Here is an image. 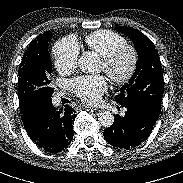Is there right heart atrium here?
Segmentation results:
<instances>
[{
	"mask_svg": "<svg viewBox=\"0 0 183 183\" xmlns=\"http://www.w3.org/2000/svg\"><path fill=\"white\" fill-rule=\"evenodd\" d=\"M53 53L55 66L59 72L69 73L75 69L79 57V47L72 38H63L58 41Z\"/></svg>",
	"mask_w": 183,
	"mask_h": 183,
	"instance_id": "d8ad5b80",
	"label": "right heart atrium"
}]
</instances>
